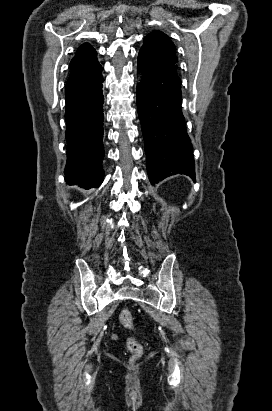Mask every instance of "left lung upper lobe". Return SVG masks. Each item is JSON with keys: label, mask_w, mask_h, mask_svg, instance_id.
Segmentation results:
<instances>
[{"label": "left lung upper lobe", "mask_w": 272, "mask_h": 411, "mask_svg": "<svg viewBox=\"0 0 272 411\" xmlns=\"http://www.w3.org/2000/svg\"><path fill=\"white\" fill-rule=\"evenodd\" d=\"M171 72L177 74L176 47L170 38L161 31L149 33L143 40L140 49Z\"/></svg>", "instance_id": "left-lung-upper-lobe-1"}]
</instances>
